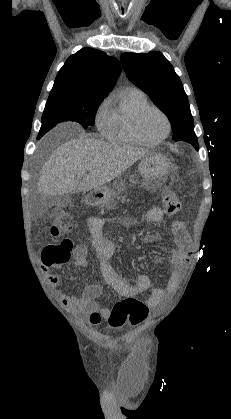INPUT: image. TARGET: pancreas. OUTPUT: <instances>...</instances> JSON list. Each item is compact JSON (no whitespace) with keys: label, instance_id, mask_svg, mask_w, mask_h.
Segmentation results:
<instances>
[{"label":"pancreas","instance_id":"cf45deb5","mask_svg":"<svg viewBox=\"0 0 231 419\" xmlns=\"http://www.w3.org/2000/svg\"><path fill=\"white\" fill-rule=\"evenodd\" d=\"M123 188H124V185L121 184V188H119V189L121 190ZM118 199H120V198H118ZM125 200H126L125 197H122L121 202L123 203V202H125ZM114 204H116V202H114Z\"/></svg>","mask_w":231,"mask_h":419}]
</instances>
